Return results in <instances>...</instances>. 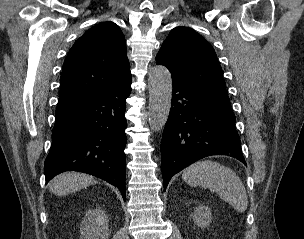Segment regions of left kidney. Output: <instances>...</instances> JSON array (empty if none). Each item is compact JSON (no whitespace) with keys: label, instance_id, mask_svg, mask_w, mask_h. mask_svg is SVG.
I'll use <instances>...</instances> for the list:
<instances>
[{"label":"left kidney","instance_id":"5707ae66","mask_svg":"<svg viewBox=\"0 0 304 239\" xmlns=\"http://www.w3.org/2000/svg\"><path fill=\"white\" fill-rule=\"evenodd\" d=\"M193 221L202 229L207 228L212 220L211 210L208 206H199L192 214Z\"/></svg>","mask_w":304,"mask_h":239}]
</instances>
